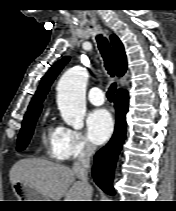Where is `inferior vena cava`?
<instances>
[{
  "label": "inferior vena cava",
  "instance_id": "602c4592",
  "mask_svg": "<svg viewBox=\"0 0 176 211\" xmlns=\"http://www.w3.org/2000/svg\"><path fill=\"white\" fill-rule=\"evenodd\" d=\"M94 152H95V146L89 142H86L83 150L81 151L77 160L73 163L72 167L77 178L87 188L91 187L88 182V170L90 167V157L94 154Z\"/></svg>",
  "mask_w": 176,
  "mask_h": 211
}]
</instances>
